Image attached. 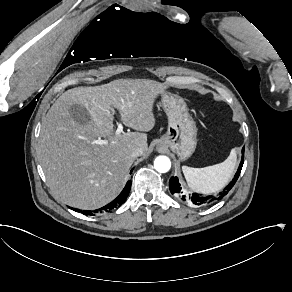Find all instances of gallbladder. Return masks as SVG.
I'll return each instance as SVG.
<instances>
[{
  "instance_id": "gallbladder-1",
  "label": "gallbladder",
  "mask_w": 292,
  "mask_h": 292,
  "mask_svg": "<svg viewBox=\"0 0 292 292\" xmlns=\"http://www.w3.org/2000/svg\"><path fill=\"white\" fill-rule=\"evenodd\" d=\"M70 114L77 122L85 123L90 120V115L83 106L73 105Z\"/></svg>"
}]
</instances>
